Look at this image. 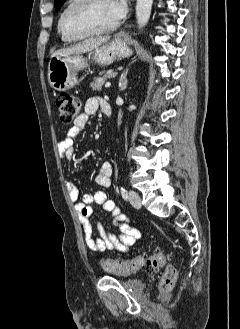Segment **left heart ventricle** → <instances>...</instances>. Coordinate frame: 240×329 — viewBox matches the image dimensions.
Returning <instances> with one entry per match:
<instances>
[{
  "label": "left heart ventricle",
  "instance_id": "obj_1",
  "mask_svg": "<svg viewBox=\"0 0 240 329\" xmlns=\"http://www.w3.org/2000/svg\"><path fill=\"white\" fill-rule=\"evenodd\" d=\"M109 0H94L88 6L77 10L68 21L69 28L81 33L93 29H101L116 23Z\"/></svg>",
  "mask_w": 240,
  "mask_h": 329
}]
</instances>
